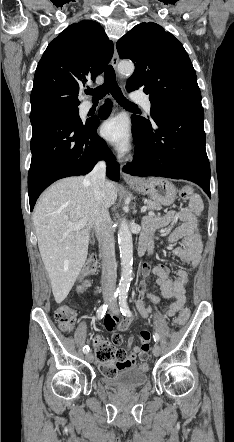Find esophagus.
<instances>
[{
  "instance_id": "34e87169",
  "label": "esophagus",
  "mask_w": 234,
  "mask_h": 442,
  "mask_svg": "<svg viewBox=\"0 0 234 442\" xmlns=\"http://www.w3.org/2000/svg\"><path fill=\"white\" fill-rule=\"evenodd\" d=\"M118 61H119V56L117 53L116 46H114V52H113V56H112V60H111V64L113 65L114 68L117 67ZM121 176L126 182L138 181L136 177H134L131 174H129L128 172H126L123 165L121 166Z\"/></svg>"
}]
</instances>
